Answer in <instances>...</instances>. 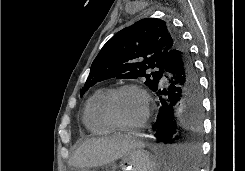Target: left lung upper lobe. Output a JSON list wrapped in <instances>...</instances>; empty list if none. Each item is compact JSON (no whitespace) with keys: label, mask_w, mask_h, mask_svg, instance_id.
Wrapping results in <instances>:
<instances>
[{"label":"left lung upper lobe","mask_w":245,"mask_h":171,"mask_svg":"<svg viewBox=\"0 0 245 171\" xmlns=\"http://www.w3.org/2000/svg\"><path fill=\"white\" fill-rule=\"evenodd\" d=\"M184 41L169 22L145 18L116 33L101 49L90 69L81 97L94 84L110 78L145 77L156 91L169 54ZM158 71L150 73L151 69Z\"/></svg>","instance_id":"5c2ea615"}]
</instances>
